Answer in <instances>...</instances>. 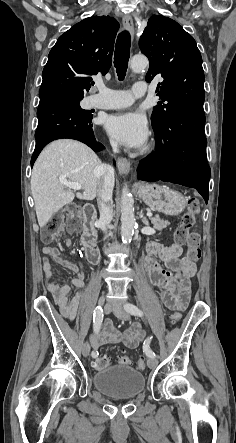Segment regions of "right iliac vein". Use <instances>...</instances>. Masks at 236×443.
<instances>
[{
    "label": "right iliac vein",
    "mask_w": 236,
    "mask_h": 443,
    "mask_svg": "<svg viewBox=\"0 0 236 443\" xmlns=\"http://www.w3.org/2000/svg\"><path fill=\"white\" fill-rule=\"evenodd\" d=\"M111 309H112L111 304H105L104 313L105 314L110 313ZM89 353H90V345L88 342H85L82 346V354H83V356L87 357L89 355Z\"/></svg>",
    "instance_id": "1"
}]
</instances>
